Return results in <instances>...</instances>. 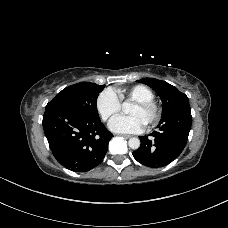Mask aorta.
I'll return each instance as SVG.
<instances>
[{
    "label": "aorta",
    "instance_id": "1",
    "mask_svg": "<svg viewBox=\"0 0 228 228\" xmlns=\"http://www.w3.org/2000/svg\"><path fill=\"white\" fill-rule=\"evenodd\" d=\"M122 106H123V109H126V108H128L129 103L124 102V103L122 104ZM140 144H141V143H140V139L137 138V137H132V138H130L129 141H128L129 147H130L131 149H134V150L138 149V148L140 147Z\"/></svg>",
    "mask_w": 228,
    "mask_h": 228
}]
</instances>
